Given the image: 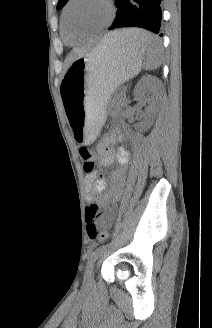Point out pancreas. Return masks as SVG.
I'll list each match as a JSON object with an SVG mask.
<instances>
[{"label":"pancreas","instance_id":"1","mask_svg":"<svg viewBox=\"0 0 212 328\" xmlns=\"http://www.w3.org/2000/svg\"><path fill=\"white\" fill-rule=\"evenodd\" d=\"M123 103L124 97L123 94H120L119 96L114 97V99L110 103V106L117 110L123 106Z\"/></svg>","mask_w":212,"mask_h":328}]
</instances>
